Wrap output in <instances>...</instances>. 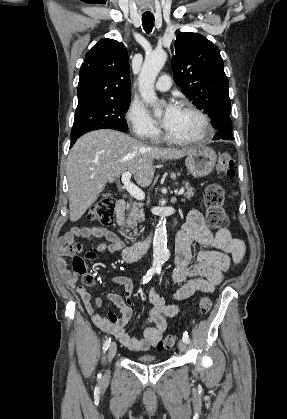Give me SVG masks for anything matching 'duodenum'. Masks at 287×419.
Wrapping results in <instances>:
<instances>
[{
    "mask_svg": "<svg viewBox=\"0 0 287 419\" xmlns=\"http://www.w3.org/2000/svg\"><path fill=\"white\" fill-rule=\"evenodd\" d=\"M127 202L123 199L118 200L116 203V214L122 215L126 210ZM151 244V238H147L138 242H135L125 248L122 251V258L126 262H133L143 256L149 249Z\"/></svg>",
    "mask_w": 287,
    "mask_h": 419,
    "instance_id": "410a0bca",
    "label": "duodenum"
}]
</instances>
